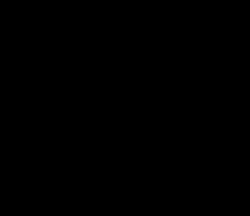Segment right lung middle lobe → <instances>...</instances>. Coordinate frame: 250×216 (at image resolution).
Returning a JSON list of instances; mask_svg holds the SVG:
<instances>
[{
    "label": "right lung middle lobe",
    "mask_w": 250,
    "mask_h": 216,
    "mask_svg": "<svg viewBox=\"0 0 250 216\" xmlns=\"http://www.w3.org/2000/svg\"><path fill=\"white\" fill-rule=\"evenodd\" d=\"M105 56L106 49H84L66 66L52 92V120L86 111L109 98L101 77Z\"/></svg>",
    "instance_id": "dd1d6c3e"
}]
</instances>
